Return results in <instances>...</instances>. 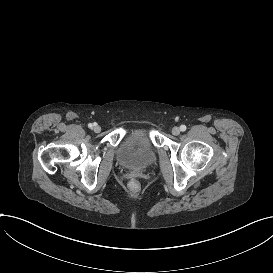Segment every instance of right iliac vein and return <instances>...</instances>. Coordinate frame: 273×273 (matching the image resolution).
Here are the masks:
<instances>
[{"mask_svg": "<svg viewBox=\"0 0 273 273\" xmlns=\"http://www.w3.org/2000/svg\"><path fill=\"white\" fill-rule=\"evenodd\" d=\"M93 131H94L95 133H99V132L101 131V127L98 126V125H95V126L93 127Z\"/></svg>", "mask_w": 273, "mask_h": 273, "instance_id": "1", "label": "right iliac vein"}]
</instances>
